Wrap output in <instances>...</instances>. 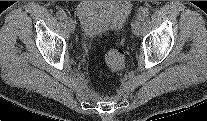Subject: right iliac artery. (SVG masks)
<instances>
[{
	"label": "right iliac artery",
	"instance_id": "obj_1",
	"mask_svg": "<svg viewBox=\"0 0 207 121\" xmlns=\"http://www.w3.org/2000/svg\"><path fill=\"white\" fill-rule=\"evenodd\" d=\"M66 13L63 11V10H59L58 12H57V17L60 19V20H63V19H65L66 18Z\"/></svg>",
	"mask_w": 207,
	"mask_h": 121
}]
</instances>
